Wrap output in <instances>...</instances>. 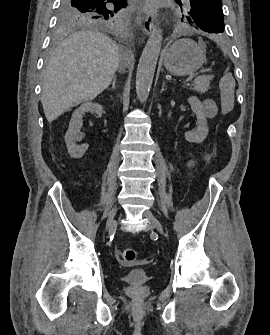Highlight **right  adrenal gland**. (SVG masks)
<instances>
[{"label": "right adrenal gland", "instance_id": "2a0ac1e0", "mask_svg": "<svg viewBox=\"0 0 270 335\" xmlns=\"http://www.w3.org/2000/svg\"><path fill=\"white\" fill-rule=\"evenodd\" d=\"M116 82H117V78H116V76H113L112 90H115V88H116Z\"/></svg>", "mask_w": 270, "mask_h": 335}]
</instances>
